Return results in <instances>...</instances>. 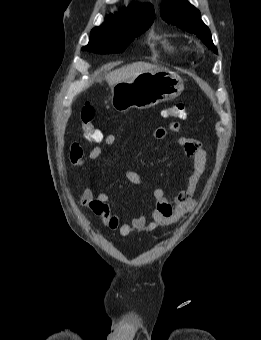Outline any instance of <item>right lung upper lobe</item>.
<instances>
[{
  "instance_id": "cb5924a9",
  "label": "right lung upper lobe",
  "mask_w": 261,
  "mask_h": 340,
  "mask_svg": "<svg viewBox=\"0 0 261 340\" xmlns=\"http://www.w3.org/2000/svg\"><path fill=\"white\" fill-rule=\"evenodd\" d=\"M155 17L154 8L151 4H131L119 14H110L106 21L119 22H150Z\"/></svg>"
}]
</instances>
